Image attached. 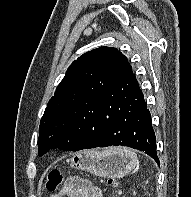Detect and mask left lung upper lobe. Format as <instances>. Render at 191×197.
Masks as SVG:
<instances>
[{
	"label": "left lung upper lobe",
	"instance_id": "obj_1",
	"mask_svg": "<svg viewBox=\"0 0 191 197\" xmlns=\"http://www.w3.org/2000/svg\"><path fill=\"white\" fill-rule=\"evenodd\" d=\"M133 77L127 57L116 48L100 47L75 60L41 118L39 156L54 148L69 150L64 129L71 127L75 116L88 110L101 93Z\"/></svg>",
	"mask_w": 191,
	"mask_h": 197
}]
</instances>
